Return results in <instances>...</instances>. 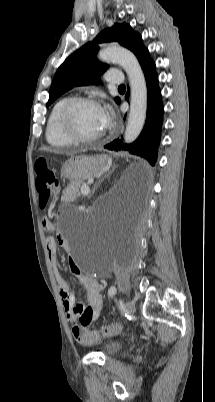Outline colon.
I'll return each mask as SVG.
<instances>
[{"instance_id": "1", "label": "colon", "mask_w": 215, "mask_h": 402, "mask_svg": "<svg viewBox=\"0 0 215 402\" xmlns=\"http://www.w3.org/2000/svg\"><path fill=\"white\" fill-rule=\"evenodd\" d=\"M47 160L38 159L35 162V173H36V189L39 193V204L43 208L50 200H52L59 187L58 179L47 165ZM49 218L43 219V226L48 228L51 224ZM91 314V311H87L84 321ZM74 338L82 344H90L98 341L100 338L111 337L118 334L121 331V326L118 323H113L110 325H104L97 330H87L83 324H75L73 329Z\"/></svg>"}]
</instances>
